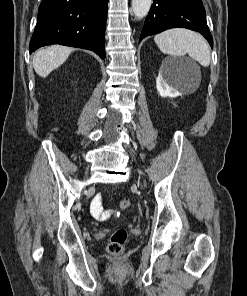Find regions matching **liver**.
I'll return each instance as SVG.
<instances>
[{
    "label": "liver",
    "mask_w": 247,
    "mask_h": 296,
    "mask_svg": "<svg viewBox=\"0 0 247 296\" xmlns=\"http://www.w3.org/2000/svg\"><path fill=\"white\" fill-rule=\"evenodd\" d=\"M74 49L62 45H51L38 50L33 56V67L41 77H47L61 66Z\"/></svg>",
    "instance_id": "obj_1"
}]
</instances>
